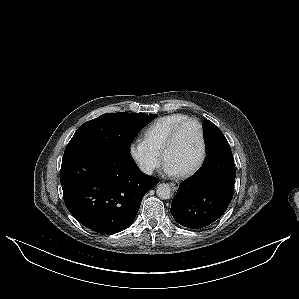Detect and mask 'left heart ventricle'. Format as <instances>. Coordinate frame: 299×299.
Masks as SVG:
<instances>
[{
  "label": "left heart ventricle",
  "instance_id": "left-heart-ventricle-1",
  "mask_svg": "<svg viewBox=\"0 0 299 299\" xmlns=\"http://www.w3.org/2000/svg\"><path fill=\"white\" fill-rule=\"evenodd\" d=\"M199 153V133L191 125L183 129L177 136L170 151L168 164L178 171H183L194 164Z\"/></svg>",
  "mask_w": 299,
  "mask_h": 299
}]
</instances>
